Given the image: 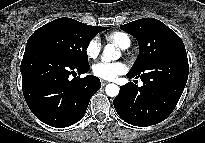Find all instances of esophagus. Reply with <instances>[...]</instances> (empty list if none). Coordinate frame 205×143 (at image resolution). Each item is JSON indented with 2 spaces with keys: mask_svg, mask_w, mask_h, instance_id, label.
Returning <instances> with one entry per match:
<instances>
[{
  "mask_svg": "<svg viewBox=\"0 0 205 143\" xmlns=\"http://www.w3.org/2000/svg\"><path fill=\"white\" fill-rule=\"evenodd\" d=\"M107 84H108V81L101 80V85H102V86H105V85H107Z\"/></svg>",
  "mask_w": 205,
  "mask_h": 143,
  "instance_id": "obj_1",
  "label": "esophagus"
}]
</instances>
